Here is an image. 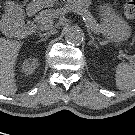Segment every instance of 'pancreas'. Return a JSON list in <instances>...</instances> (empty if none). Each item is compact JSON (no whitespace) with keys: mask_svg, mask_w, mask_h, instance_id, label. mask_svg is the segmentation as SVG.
I'll return each mask as SVG.
<instances>
[{"mask_svg":"<svg viewBox=\"0 0 135 135\" xmlns=\"http://www.w3.org/2000/svg\"><path fill=\"white\" fill-rule=\"evenodd\" d=\"M68 6L79 15L84 17L87 26L90 27L92 30H94L95 32H103V26L97 23L89 10H87L79 1L69 0ZM61 13V9L43 10L35 17V22H37L41 28L51 29L52 23H50V21H53L54 18L59 17Z\"/></svg>","mask_w":135,"mask_h":135,"instance_id":"1","label":"pancreas"}]
</instances>
